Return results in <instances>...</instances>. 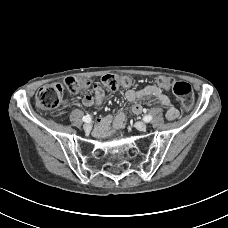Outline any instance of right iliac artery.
<instances>
[{
  "label": "right iliac artery",
  "mask_w": 228,
  "mask_h": 228,
  "mask_svg": "<svg viewBox=\"0 0 228 228\" xmlns=\"http://www.w3.org/2000/svg\"><path fill=\"white\" fill-rule=\"evenodd\" d=\"M83 121L84 122H90L91 121V116L90 115H86L83 117Z\"/></svg>",
  "instance_id": "right-iliac-artery-1"
}]
</instances>
